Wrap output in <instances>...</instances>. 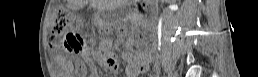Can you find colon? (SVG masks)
Wrapping results in <instances>:
<instances>
[{"label": "colon", "instance_id": "obj_1", "mask_svg": "<svg viewBox=\"0 0 258 77\" xmlns=\"http://www.w3.org/2000/svg\"><path fill=\"white\" fill-rule=\"evenodd\" d=\"M80 19L63 8L55 9L49 24V30L53 36L58 39L62 49L69 52H78L85 46V39L80 32ZM122 36L126 35L125 30H121ZM143 32L139 33V40L134 44L135 52H144L147 50L148 41Z\"/></svg>", "mask_w": 258, "mask_h": 77}]
</instances>
